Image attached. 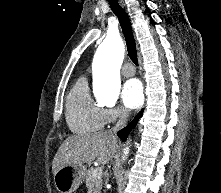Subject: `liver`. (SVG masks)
<instances>
[{"label":"liver","mask_w":221,"mask_h":193,"mask_svg":"<svg viewBox=\"0 0 221 193\" xmlns=\"http://www.w3.org/2000/svg\"><path fill=\"white\" fill-rule=\"evenodd\" d=\"M118 149L117 137L109 131L68 137L59 147L52 163L53 174L66 165H83L97 159L108 163Z\"/></svg>","instance_id":"6515ba94"}]
</instances>
